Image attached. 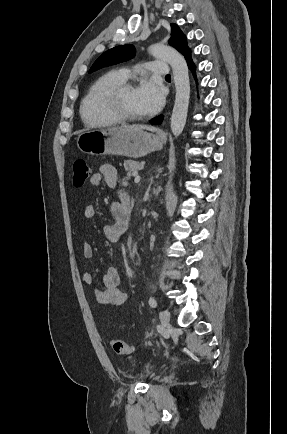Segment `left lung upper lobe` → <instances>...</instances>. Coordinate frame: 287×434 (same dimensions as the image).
<instances>
[{"label":"left lung upper lobe","mask_w":287,"mask_h":434,"mask_svg":"<svg viewBox=\"0 0 287 434\" xmlns=\"http://www.w3.org/2000/svg\"><path fill=\"white\" fill-rule=\"evenodd\" d=\"M172 34L169 39V44L181 52L185 58L190 57V49L187 47V40L185 35L179 29L176 24H171ZM135 55V49L133 45H122L117 46L108 51L104 52L99 58L94 62L89 70L92 73L102 67L117 64L126 60L131 59Z\"/></svg>","instance_id":"left-lung-upper-lobe-1"}]
</instances>
